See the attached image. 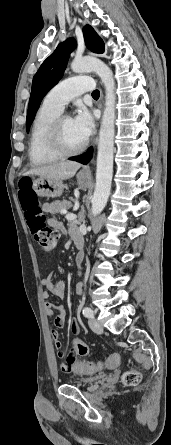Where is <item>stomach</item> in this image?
I'll list each match as a JSON object with an SVG mask.
<instances>
[{
  "instance_id": "1",
  "label": "stomach",
  "mask_w": 171,
  "mask_h": 445,
  "mask_svg": "<svg viewBox=\"0 0 171 445\" xmlns=\"http://www.w3.org/2000/svg\"><path fill=\"white\" fill-rule=\"evenodd\" d=\"M86 177L78 176V182L86 183ZM32 188L41 197H60L63 193L64 185L61 180H51L43 177L32 178Z\"/></svg>"
}]
</instances>
